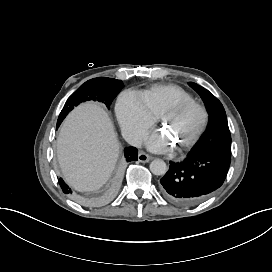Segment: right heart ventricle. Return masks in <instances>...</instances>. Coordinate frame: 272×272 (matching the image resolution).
I'll list each match as a JSON object with an SVG mask.
<instances>
[{"label": "right heart ventricle", "instance_id": "1", "mask_svg": "<svg viewBox=\"0 0 272 272\" xmlns=\"http://www.w3.org/2000/svg\"><path fill=\"white\" fill-rule=\"evenodd\" d=\"M154 114L161 115L163 110L173 101H192V97L176 85L154 86L143 93Z\"/></svg>", "mask_w": 272, "mask_h": 272}]
</instances>
